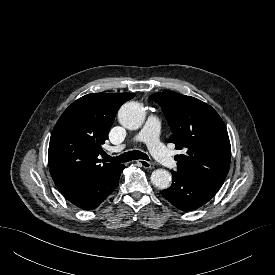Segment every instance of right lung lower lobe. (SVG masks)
Masks as SVG:
<instances>
[{"label":"right lung lower lobe","mask_w":275,"mask_h":275,"mask_svg":"<svg viewBox=\"0 0 275 275\" xmlns=\"http://www.w3.org/2000/svg\"><path fill=\"white\" fill-rule=\"evenodd\" d=\"M125 166L119 164L114 170L87 185L62 192L64 197L82 209H94L119 184L120 174Z\"/></svg>","instance_id":"98d812e1"}]
</instances>
